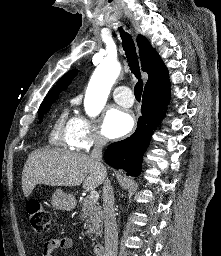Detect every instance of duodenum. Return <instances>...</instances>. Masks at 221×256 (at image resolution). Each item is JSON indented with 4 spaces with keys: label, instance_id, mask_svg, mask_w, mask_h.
<instances>
[{
    "label": "duodenum",
    "instance_id": "obj_1",
    "mask_svg": "<svg viewBox=\"0 0 221 256\" xmlns=\"http://www.w3.org/2000/svg\"><path fill=\"white\" fill-rule=\"evenodd\" d=\"M105 248L102 243H96L94 245V254L95 256H104Z\"/></svg>",
    "mask_w": 221,
    "mask_h": 256
}]
</instances>
